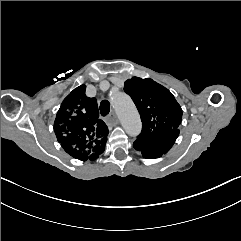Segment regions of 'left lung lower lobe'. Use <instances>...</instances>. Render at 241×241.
<instances>
[{
  "mask_svg": "<svg viewBox=\"0 0 241 241\" xmlns=\"http://www.w3.org/2000/svg\"><path fill=\"white\" fill-rule=\"evenodd\" d=\"M178 135L179 131L166 135L163 143L157 149L142 148L136 142L133 143V146L136 150L142 153L143 157L147 159L159 158L169 151V149L173 146L174 142L176 141Z\"/></svg>",
  "mask_w": 241,
  "mask_h": 241,
  "instance_id": "obj_1",
  "label": "left lung lower lobe"
}]
</instances>
